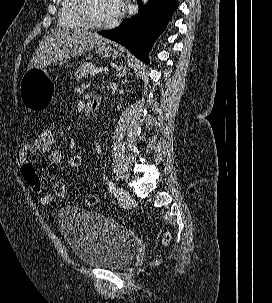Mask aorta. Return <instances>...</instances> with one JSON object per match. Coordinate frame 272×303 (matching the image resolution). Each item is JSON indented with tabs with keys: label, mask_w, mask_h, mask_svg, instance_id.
Returning <instances> with one entry per match:
<instances>
[{
	"label": "aorta",
	"mask_w": 272,
	"mask_h": 303,
	"mask_svg": "<svg viewBox=\"0 0 272 303\" xmlns=\"http://www.w3.org/2000/svg\"><path fill=\"white\" fill-rule=\"evenodd\" d=\"M143 4H146L148 2V0H142Z\"/></svg>",
	"instance_id": "762f6f07"
}]
</instances>
